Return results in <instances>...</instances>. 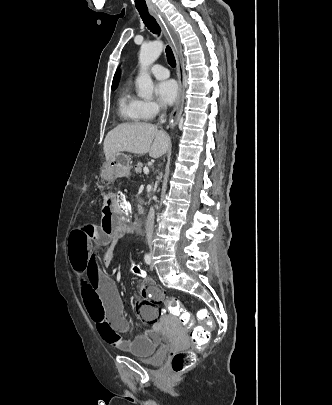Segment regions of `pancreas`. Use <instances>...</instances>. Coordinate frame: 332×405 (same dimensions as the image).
I'll use <instances>...</instances> for the list:
<instances>
[{
  "instance_id": "cf45deb5",
  "label": "pancreas",
  "mask_w": 332,
  "mask_h": 405,
  "mask_svg": "<svg viewBox=\"0 0 332 405\" xmlns=\"http://www.w3.org/2000/svg\"><path fill=\"white\" fill-rule=\"evenodd\" d=\"M142 167H143V164L141 162H138L136 167H135V172L137 174H140L142 172Z\"/></svg>"
}]
</instances>
